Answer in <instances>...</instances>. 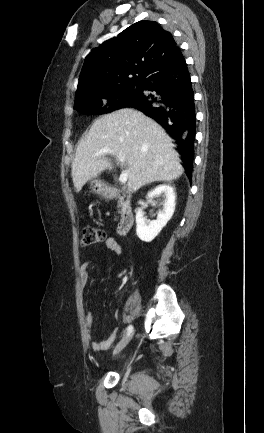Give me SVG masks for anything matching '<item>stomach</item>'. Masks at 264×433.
<instances>
[{
  "label": "stomach",
  "instance_id": "obj_1",
  "mask_svg": "<svg viewBox=\"0 0 264 433\" xmlns=\"http://www.w3.org/2000/svg\"><path fill=\"white\" fill-rule=\"evenodd\" d=\"M90 189L95 194H102L105 192L106 186L102 181L95 179L90 182Z\"/></svg>",
  "mask_w": 264,
  "mask_h": 433
}]
</instances>
